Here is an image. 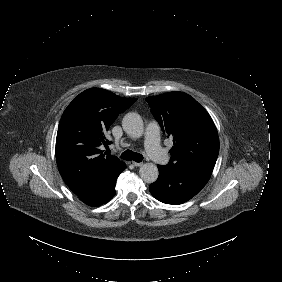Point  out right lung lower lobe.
Segmentation results:
<instances>
[{"instance_id":"1","label":"right lung lower lobe","mask_w":282,"mask_h":282,"mask_svg":"<svg viewBox=\"0 0 282 282\" xmlns=\"http://www.w3.org/2000/svg\"><path fill=\"white\" fill-rule=\"evenodd\" d=\"M125 167L124 163L117 170L95 177L83 191L76 195L89 206H100L107 203L114 197L117 177Z\"/></svg>"}]
</instances>
